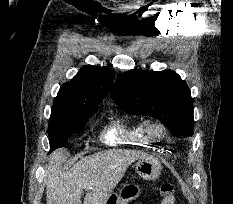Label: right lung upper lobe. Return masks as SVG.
Here are the masks:
<instances>
[{"instance_id": "right-lung-upper-lobe-1", "label": "right lung upper lobe", "mask_w": 233, "mask_h": 204, "mask_svg": "<svg viewBox=\"0 0 233 204\" xmlns=\"http://www.w3.org/2000/svg\"><path fill=\"white\" fill-rule=\"evenodd\" d=\"M113 79L114 71L108 67L83 66L70 82L60 88L49 125L95 111L108 93Z\"/></svg>"}]
</instances>
